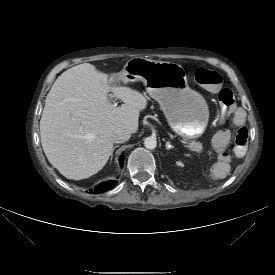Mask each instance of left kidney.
Segmentation results:
<instances>
[{
  "mask_svg": "<svg viewBox=\"0 0 275 275\" xmlns=\"http://www.w3.org/2000/svg\"><path fill=\"white\" fill-rule=\"evenodd\" d=\"M177 165H179V166H180V165H182V164H181L180 162H177Z\"/></svg>",
  "mask_w": 275,
  "mask_h": 275,
  "instance_id": "obj_1",
  "label": "left kidney"
}]
</instances>
